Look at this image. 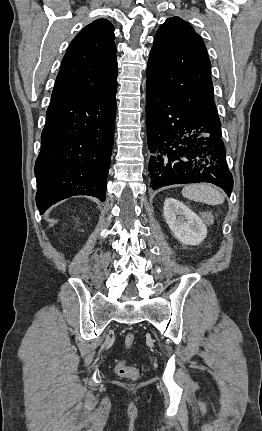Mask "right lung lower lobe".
Returning a JSON list of instances; mask_svg holds the SVG:
<instances>
[{
    "instance_id": "right-lung-lower-lobe-1",
    "label": "right lung lower lobe",
    "mask_w": 262,
    "mask_h": 431,
    "mask_svg": "<svg viewBox=\"0 0 262 431\" xmlns=\"http://www.w3.org/2000/svg\"><path fill=\"white\" fill-rule=\"evenodd\" d=\"M116 92L103 99L51 100L35 164L41 214L74 195L105 200L114 140Z\"/></svg>"
}]
</instances>
